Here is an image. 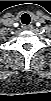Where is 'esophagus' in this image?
<instances>
[{"label":"esophagus","mask_w":51,"mask_h":101,"mask_svg":"<svg viewBox=\"0 0 51 101\" xmlns=\"http://www.w3.org/2000/svg\"><path fill=\"white\" fill-rule=\"evenodd\" d=\"M24 30H31L33 28L32 25H23L22 27Z\"/></svg>","instance_id":"esophagus-1"}]
</instances>
